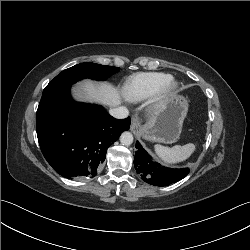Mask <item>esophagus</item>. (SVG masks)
<instances>
[{"instance_id":"34e87169","label":"esophagus","mask_w":250,"mask_h":250,"mask_svg":"<svg viewBox=\"0 0 250 250\" xmlns=\"http://www.w3.org/2000/svg\"><path fill=\"white\" fill-rule=\"evenodd\" d=\"M130 130L135 135H137L141 130V125H140L139 119H138V117L136 115L132 116Z\"/></svg>"}]
</instances>
